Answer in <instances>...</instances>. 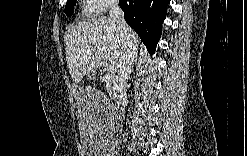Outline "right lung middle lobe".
<instances>
[{
	"label": "right lung middle lobe",
	"mask_w": 247,
	"mask_h": 156,
	"mask_svg": "<svg viewBox=\"0 0 247 156\" xmlns=\"http://www.w3.org/2000/svg\"><path fill=\"white\" fill-rule=\"evenodd\" d=\"M75 0H70L69 2L66 3L64 13L66 16H71L74 12V5H75Z\"/></svg>",
	"instance_id": "dd1d6c3e"
}]
</instances>
